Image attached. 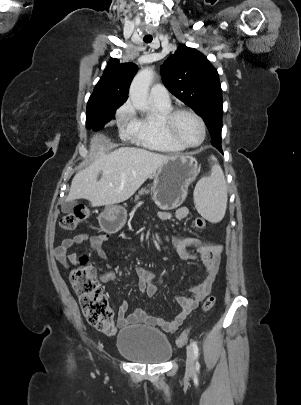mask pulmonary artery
Wrapping results in <instances>:
<instances>
[{
	"label": "pulmonary artery",
	"instance_id": "e3ab8cb5",
	"mask_svg": "<svg viewBox=\"0 0 301 405\" xmlns=\"http://www.w3.org/2000/svg\"><path fill=\"white\" fill-rule=\"evenodd\" d=\"M150 100L162 106L170 105L169 92L162 84H156L151 88Z\"/></svg>",
	"mask_w": 301,
	"mask_h": 405
}]
</instances>
